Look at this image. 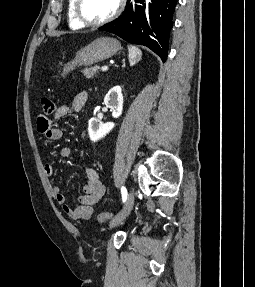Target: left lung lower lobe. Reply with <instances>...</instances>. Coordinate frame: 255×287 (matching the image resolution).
Returning a JSON list of instances; mask_svg holds the SVG:
<instances>
[{
    "label": "left lung lower lobe",
    "mask_w": 255,
    "mask_h": 287,
    "mask_svg": "<svg viewBox=\"0 0 255 287\" xmlns=\"http://www.w3.org/2000/svg\"><path fill=\"white\" fill-rule=\"evenodd\" d=\"M176 3L177 0H127L123 14L99 30L147 46L165 62Z\"/></svg>",
    "instance_id": "0a47b994"
}]
</instances>
